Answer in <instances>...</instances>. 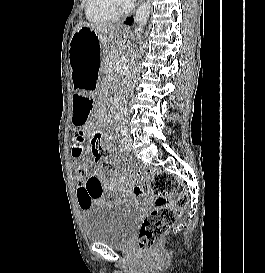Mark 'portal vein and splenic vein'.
<instances>
[{
  "label": "portal vein and splenic vein",
  "mask_w": 265,
  "mask_h": 273,
  "mask_svg": "<svg viewBox=\"0 0 265 273\" xmlns=\"http://www.w3.org/2000/svg\"><path fill=\"white\" fill-rule=\"evenodd\" d=\"M113 70L118 71L119 70V66L114 67Z\"/></svg>",
  "instance_id": "portal-vein-and-splenic-vein-1"
}]
</instances>
